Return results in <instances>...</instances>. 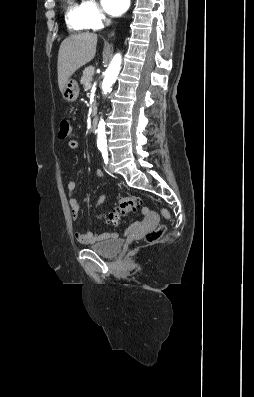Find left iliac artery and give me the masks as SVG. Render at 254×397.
Returning a JSON list of instances; mask_svg holds the SVG:
<instances>
[{"label": "left iliac artery", "mask_w": 254, "mask_h": 397, "mask_svg": "<svg viewBox=\"0 0 254 397\" xmlns=\"http://www.w3.org/2000/svg\"><path fill=\"white\" fill-rule=\"evenodd\" d=\"M102 152V157L104 159L105 164L108 163V153H107V149L106 148H102L101 149Z\"/></svg>", "instance_id": "left-iliac-artery-1"}]
</instances>
